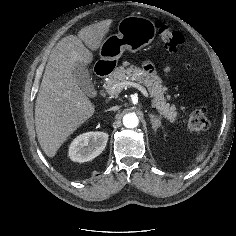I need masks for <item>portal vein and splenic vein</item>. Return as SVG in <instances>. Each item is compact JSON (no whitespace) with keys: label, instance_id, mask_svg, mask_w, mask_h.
<instances>
[{"label":"portal vein and splenic vein","instance_id":"obj_1","mask_svg":"<svg viewBox=\"0 0 236 236\" xmlns=\"http://www.w3.org/2000/svg\"><path fill=\"white\" fill-rule=\"evenodd\" d=\"M126 86H130V87H134V88L138 89L146 98H149V94L143 86H141L138 83L130 82V81H125V82H121V83L114 85L110 90V94L111 95L115 94Z\"/></svg>","mask_w":236,"mask_h":236}]
</instances>
